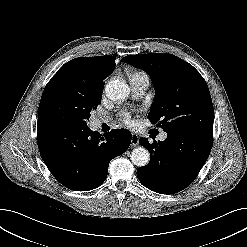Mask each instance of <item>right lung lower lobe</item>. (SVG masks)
Listing matches in <instances>:
<instances>
[{"mask_svg":"<svg viewBox=\"0 0 247 247\" xmlns=\"http://www.w3.org/2000/svg\"><path fill=\"white\" fill-rule=\"evenodd\" d=\"M131 143V132L113 129L101 137L83 129L38 118L37 144L52 175L63 186L88 191L100 186L108 174L109 162L123 154Z\"/></svg>","mask_w":247,"mask_h":247,"instance_id":"right-lung-lower-lobe-1","label":"right lung lower lobe"}]
</instances>
